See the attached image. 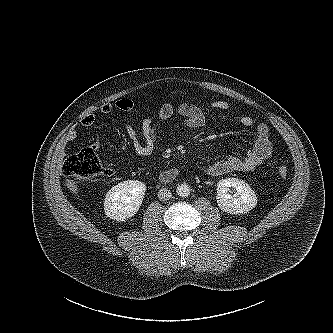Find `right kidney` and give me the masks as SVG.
Here are the masks:
<instances>
[{
    "label": "right kidney",
    "mask_w": 333,
    "mask_h": 333,
    "mask_svg": "<svg viewBox=\"0 0 333 333\" xmlns=\"http://www.w3.org/2000/svg\"><path fill=\"white\" fill-rule=\"evenodd\" d=\"M146 185L138 180H127L112 187L106 194L104 210L108 218L125 221L139 210Z\"/></svg>",
    "instance_id": "right-kidney-1"
}]
</instances>
